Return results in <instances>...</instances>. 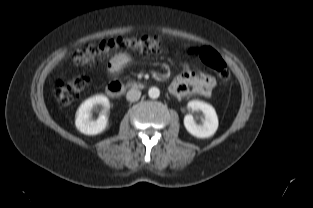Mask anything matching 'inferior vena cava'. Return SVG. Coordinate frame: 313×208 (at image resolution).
<instances>
[{"label":"inferior vena cava","mask_w":313,"mask_h":208,"mask_svg":"<svg viewBox=\"0 0 313 208\" xmlns=\"http://www.w3.org/2000/svg\"><path fill=\"white\" fill-rule=\"evenodd\" d=\"M141 97V92L138 89H131L127 92L126 98L130 102L139 100Z\"/></svg>","instance_id":"602c4592"}]
</instances>
